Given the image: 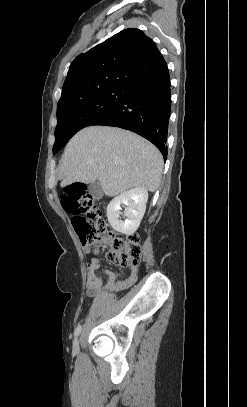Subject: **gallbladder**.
<instances>
[{
    "mask_svg": "<svg viewBox=\"0 0 247 407\" xmlns=\"http://www.w3.org/2000/svg\"><path fill=\"white\" fill-rule=\"evenodd\" d=\"M89 192L95 199L103 197V190L98 180L89 185Z\"/></svg>",
    "mask_w": 247,
    "mask_h": 407,
    "instance_id": "obj_1",
    "label": "gallbladder"
}]
</instances>
